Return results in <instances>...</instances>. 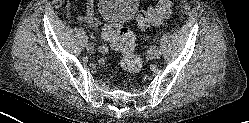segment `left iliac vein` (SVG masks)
I'll list each match as a JSON object with an SVG mask.
<instances>
[{"label":"left iliac vein","instance_id":"obj_1","mask_svg":"<svg viewBox=\"0 0 249 123\" xmlns=\"http://www.w3.org/2000/svg\"><path fill=\"white\" fill-rule=\"evenodd\" d=\"M148 56L150 59H155L156 58V49L155 48H151L148 51Z\"/></svg>","mask_w":249,"mask_h":123}]
</instances>
